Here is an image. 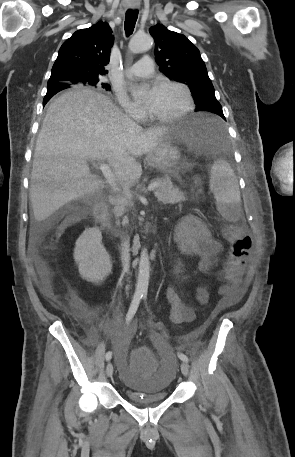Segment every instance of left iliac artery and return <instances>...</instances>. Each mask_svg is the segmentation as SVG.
<instances>
[{"instance_id":"obj_1","label":"left iliac artery","mask_w":295,"mask_h":457,"mask_svg":"<svg viewBox=\"0 0 295 457\" xmlns=\"http://www.w3.org/2000/svg\"><path fill=\"white\" fill-rule=\"evenodd\" d=\"M143 297H144V299H146V294H145ZM178 357H179L181 360H183V361H185V362H188V357H187L185 354H183V353H178Z\"/></svg>"}]
</instances>
